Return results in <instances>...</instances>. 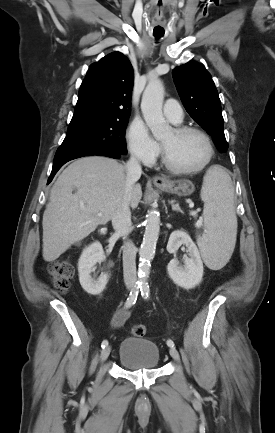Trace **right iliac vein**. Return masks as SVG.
Instances as JSON below:
<instances>
[{
	"mask_svg": "<svg viewBox=\"0 0 275 433\" xmlns=\"http://www.w3.org/2000/svg\"><path fill=\"white\" fill-rule=\"evenodd\" d=\"M110 352H111V347L106 346L101 352V356H100L101 361H105L108 358Z\"/></svg>",
	"mask_w": 275,
	"mask_h": 433,
	"instance_id": "right-iliac-vein-1",
	"label": "right iliac vein"
}]
</instances>
